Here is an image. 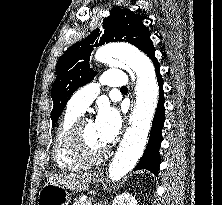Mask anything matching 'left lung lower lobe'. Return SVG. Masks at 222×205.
<instances>
[{
  "label": "left lung lower lobe",
  "instance_id": "left-lung-lower-lobe-1",
  "mask_svg": "<svg viewBox=\"0 0 222 205\" xmlns=\"http://www.w3.org/2000/svg\"><path fill=\"white\" fill-rule=\"evenodd\" d=\"M140 50L147 54V56L152 60L155 66V72L157 75V81L160 92L158 106L154 115L148 144L143 156L141 157L139 163L137 164L134 170L147 169L157 175L161 163V157L159 154V148L162 142L161 130L164 126L165 121L163 79L160 74V64L157 58L155 57V48L150 39V36L145 39Z\"/></svg>",
  "mask_w": 222,
  "mask_h": 205
}]
</instances>
